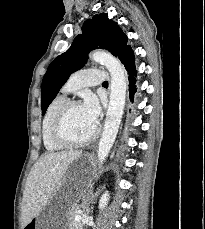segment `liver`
<instances>
[{
    "label": "liver",
    "mask_w": 205,
    "mask_h": 229,
    "mask_svg": "<svg viewBox=\"0 0 205 229\" xmlns=\"http://www.w3.org/2000/svg\"><path fill=\"white\" fill-rule=\"evenodd\" d=\"M81 155L82 151L47 153L34 164L23 195V226L40 214L63 185L69 165Z\"/></svg>",
    "instance_id": "obj_1"
}]
</instances>
